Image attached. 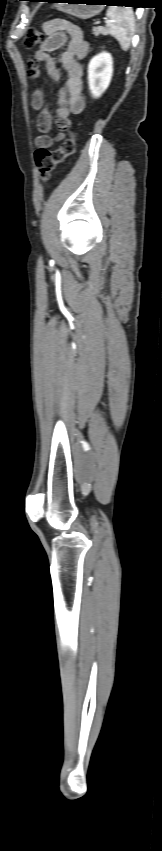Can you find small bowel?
Returning a JSON list of instances; mask_svg holds the SVG:
<instances>
[{"instance_id":"c3829d8e","label":"small bowel","mask_w":162,"mask_h":851,"mask_svg":"<svg viewBox=\"0 0 162 851\" xmlns=\"http://www.w3.org/2000/svg\"><path fill=\"white\" fill-rule=\"evenodd\" d=\"M46 39L28 60V72L32 77H38V63L45 65L48 75L55 81L61 80L60 71L51 52L66 45L61 54L60 63L67 73L65 87L61 88L57 97V108L52 114L47 105L43 89L37 88L32 95L31 107L38 112L37 129L41 135L35 138L37 147L48 148L65 136L63 131L49 135L53 120L64 130L71 126V115L80 114L85 108L83 90V68L80 63L89 52V44L82 30L73 22L66 19H53L43 24Z\"/></svg>"}]
</instances>
